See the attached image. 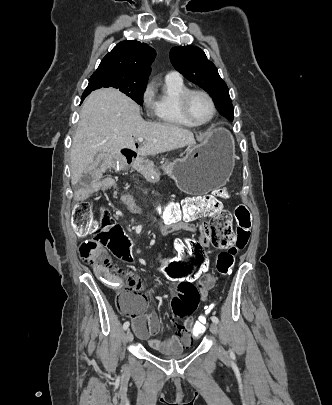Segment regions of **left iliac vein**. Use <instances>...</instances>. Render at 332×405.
<instances>
[{
	"mask_svg": "<svg viewBox=\"0 0 332 405\" xmlns=\"http://www.w3.org/2000/svg\"><path fill=\"white\" fill-rule=\"evenodd\" d=\"M210 331L212 332V334H214V335H217L218 334V327H217V325H216V323H214V322H212L211 324H210ZM218 353H219V355L220 356H224L226 353H225V350L223 349V347L222 346H218Z\"/></svg>",
	"mask_w": 332,
	"mask_h": 405,
	"instance_id": "1",
	"label": "left iliac vein"
}]
</instances>
